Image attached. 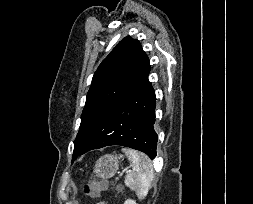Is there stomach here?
Segmentation results:
<instances>
[{"label":"stomach","instance_id":"stomach-1","mask_svg":"<svg viewBox=\"0 0 253 204\" xmlns=\"http://www.w3.org/2000/svg\"><path fill=\"white\" fill-rule=\"evenodd\" d=\"M120 157L114 155H104L100 157L94 166V174L103 180L112 178L119 169Z\"/></svg>","mask_w":253,"mask_h":204}]
</instances>
